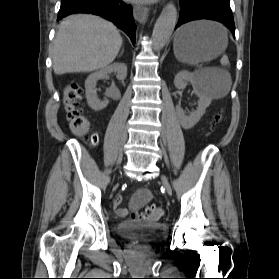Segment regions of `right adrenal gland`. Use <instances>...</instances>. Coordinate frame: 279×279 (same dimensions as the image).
I'll use <instances>...</instances> for the list:
<instances>
[{"mask_svg": "<svg viewBox=\"0 0 279 279\" xmlns=\"http://www.w3.org/2000/svg\"><path fill=\"white\" fill-rule=\"evenodd\" d=\"M123 51H124V49H122V52H121L120 56L123 54Z\"/></svg>", "mask_w": 279, "mask_h": 279, "instance_id": "right-adrenal-gland-1", "label": "right adrenal gland"}]
</instances>
